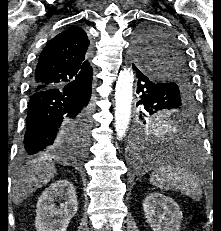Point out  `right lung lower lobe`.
Segmentation results:
<instances>
[{
  "mask_svg": "<svg viewBox=\"0 0 221 231\" xmlns=\"http://www.w3.org/2000/svg\"><path fill=\"white\" fill-rule=\"evenodd\" d=\"M91 81L33 92L20 145L22 160L85 155L87 144L74 136L71 124L90 109Z\"/></svg>",
  "mask_w": 221,
  "mask_h": 231,
  "instance_id": "right-lung-lower-lobe-1",
  "label": "right lung lower lobe"
}]
</instances>
